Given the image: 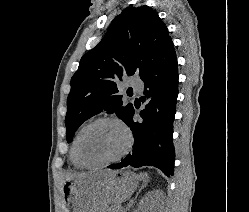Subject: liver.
Here are the masks:
<instances>
[{
  "mask_svg": "<svg viewBox=\"0 0 249 212\" xmlns=\"http://www.w3.org/2000/svg\"><path fill=\"white\" fill-rule=\"evenodd\" d=\"M145 174H132L125 170H103V172H83L71 174L67 180H85L94 192V212H104L108 204L120 206L127 202L138 188L139 180H145Z\"/></svg>",
  "mask_w": 249,
  "mask_h": 212,
  "instance_id": "1",
  "label": "liver"
}]
</instances>
